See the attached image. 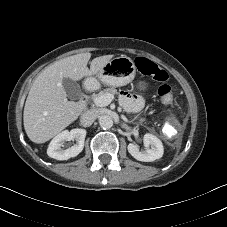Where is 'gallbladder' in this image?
Instances as JSON below:
<instances>
[{"mask_svg": "<svg viewBox=\"0 0 227 227\" xmlns=\"http://www.w3.org/2000/svg\"><path fill=\"white\" fill-rule=\"evenodd\" d=\"M62 85L67 93V96L71 99H76L81 94V88L77 82L72 79L64 78Z\"/></svg>", "mask_w": 227, "mask_h": 227, "instance_id": "bac80fb5", "label": "gallbladder"}]
</instances>
